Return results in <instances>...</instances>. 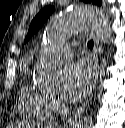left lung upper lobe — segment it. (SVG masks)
<instances>
[{
  "label": "left lung upper lobe",
  "instance_id": "5c2ea615",
  "mask_svg": "<svg viewBox=\"0 0 125 128\" xmlns=\"http://www.w3.org/2000/svg\"><path fill=\"white\" fill-rule=\"evenodd\" d=\"M84 2H88V3H93L96 5H101L102 1L101 0H83ZM54 11V7L52 6H48L45 7L44 9H42L36 16L35 18L32 20L29 30H28V34L24 40V43H26L31 36L39 30L40 27H42V25L45 23V21L50 17V15L53 13Z\"/></svg>",
  "mask_w": 125,
  "mask_h": 128
}]
</instances>
